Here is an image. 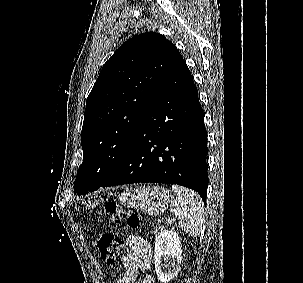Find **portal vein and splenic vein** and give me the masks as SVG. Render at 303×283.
I'll return each instance as SVG.
<instances>
[{
  "label": "portal vein and splenic vein",
  "mask_w": 303,
  "mask_h": 283,
  "mask_svg": "<svg viewBox=\"0 0 303 283\" xmlns=\"http://www.w3.org/2000/svg\"><path fill=\"white\" fill-rule=\"evenodd\" d=\"M167 223H171L172 222V219H168L166 220Z\"/></svg>",
  "instance_id": "1"
}]
</instances>
